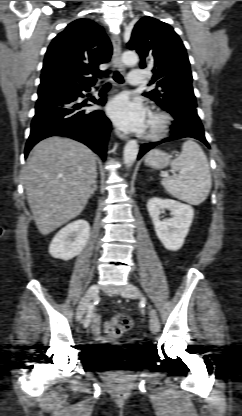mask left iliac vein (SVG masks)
Segmentation results:
<instances>
[{
    "label": "left iliac vein",
    "instance_id": "1",
    "mask_svg": "<svg viewBox=\"0 0 242 416\" xmlns=\"http://www.w3.org/2000/svg\"><path fill=\"white\" fill-rule=\"evenodd\" d=\"M121 295L128 298H138L141 297V292L135 285L128 283L126 287L121 291ZM148 308L150 315V330L152 333L156 334L160 330V322L156 311L150 305Z\"/></svg>",
    "mask_w": 242,
    "mask_h": 416
}]
</instances>
